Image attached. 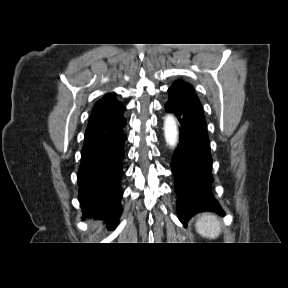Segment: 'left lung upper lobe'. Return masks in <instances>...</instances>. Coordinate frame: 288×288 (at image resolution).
I'll return each instance as SVG.
<instances>
[{"label":"left lung upper lobe","mask_w":288,"mask_h":288,"mask_svg":"<svg viewBox=\"0 0 288 288\" xmlns=\"http://www.w3.org/2000/svg\"><path fill=\"white\" fill-rule=\"evenodd\" d=\"M169 92H190L195 94L193 87L183 81H176L174 84L168 89ZM196 95V94H195Z\"/></svg>","instance_id":"left-lung-upper-lobe-1"}]
</instances>
